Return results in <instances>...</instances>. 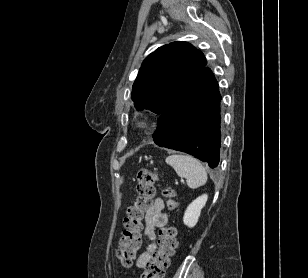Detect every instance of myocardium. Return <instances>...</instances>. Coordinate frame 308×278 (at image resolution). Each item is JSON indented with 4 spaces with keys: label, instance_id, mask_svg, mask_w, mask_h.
<instances>
[{
    "label": "myocardium",
    "instance_id": "myocardium-1",
    "mask_svg": "<svg viewBox=\"0 0 308 278\" xmlns=\"http://www.w3.org/2000/svg\"><path fill=\"white\" fill-rule=\"evenodd\" d=\"M134 128L138 132L145 133L150 130L151 122L146 118H140L135 121Z\"/></svg>",
    "mask_w": 308,
    "mask_h": 278
}]
</instances>
